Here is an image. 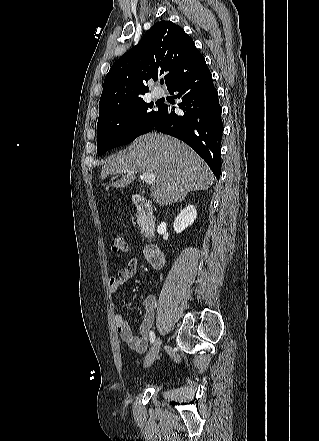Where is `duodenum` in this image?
Here are the masks:
<instances>
[{"label":"duodenum","instance_id":"1","mask_svg":"<svg viewBox=\"0 0 319 441\" xmlns=\"http://www.w3.org/2000/svg\"><path fill=\"white\" fill-rule=\"evenodd\" d=\"M132 202L137 210L147 221L146 232L149 235L153 222V208L149 200L141 195H133ZM145 257L154 268H161L165 264V255L163 251L155 244H147L144 250Z\"/></svg>","mask_w":319,"mask_h":441}]
</instances>
